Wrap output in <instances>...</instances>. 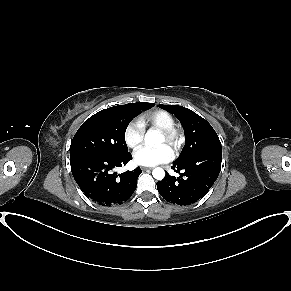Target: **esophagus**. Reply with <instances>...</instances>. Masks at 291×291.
I'll return each mask as SVG.
<instances>
[{
  "label": "esophagus",
  "instance_id": "obj_1",
  "mask_svg": "<svg viewBox=\"0 0 291 291\" xmlns=\"http://www.w3.org/2000/svg\"><path fill=\"white\" fill-rule=\"evenodd\" d=\"M143 171H148V170H152L153 168L152 167H142L141 168Z\"/></svg>",
  "mask_w": 291,
  "mask_h": 291
}]
</instances>
